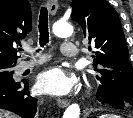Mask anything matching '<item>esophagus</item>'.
Masks as SVG:
<instances>
[{
    "label": "esophagus",
    "mask_w": 133,
    "mask_h": 118,
    "mask_svg": "<svg viewBox=\"0 0 133 118\" xmlns=\"http://www.w3.org/2000/svg\"><path fill=\"white\" fill-rule=\"evenodd\" d=\"M47 8L51 15H55L58 9V1L57 0H48L47 1ZM58 106L61 108H65L69 105V100L66 99H58L57 101Z\"/></svg>",
    "instance_id": "esophagus-1"
}]
</instances>
